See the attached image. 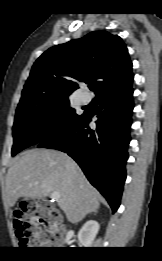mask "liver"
I'll return each mask as SVG.
<instances>
[{
  "mask_svg": "<svg viewBox=\"0 0 162 261\" xmlns=\"http://www.w3.org/2000/svg\"><path fill=\"white\" fill-rule=\"evenodd\" d=\"M53 192L60 193L58 206L72 223L100 207L99 192L79 166L67 154L48 149H31L17 158L8 170L3 198L13 207L21 197L44 198Z\"/></svg>",
  "mask_w": 162,
  "mask_h": 261,
  "instance_id": "6515ba94",
  "label": "liver"
}]
</instances>
